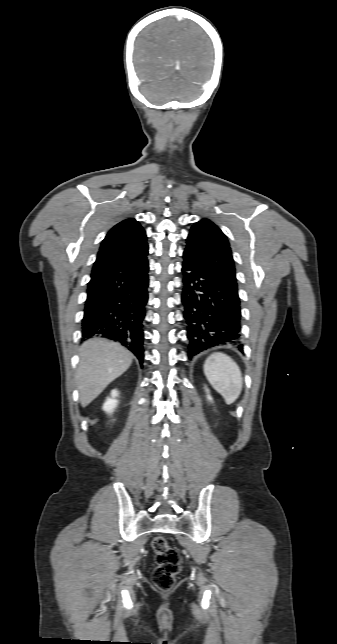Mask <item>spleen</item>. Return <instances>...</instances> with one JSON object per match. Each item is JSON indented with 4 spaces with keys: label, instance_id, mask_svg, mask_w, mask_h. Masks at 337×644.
I'll use <instances>...</instances> for the list:
<instances>
[{
    "label": "spleen",
    "instance_id": "obj_1",
    "mask_svg": "<svg viewBox=\"0 0 337 644\" xmlns=\"http://www.w3.org/2000/svg\"><path fill=\"white\" fill-rule=\"evenodd\" d=\"M204 373L211 386L232 404L242 391L243 379L239 366L224 353L211 354L204 363Z\"/></svg>",
    "mask_w": 337,
    "mask_h": 644
}]
</instances>
